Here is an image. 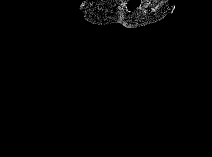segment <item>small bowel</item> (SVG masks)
I'll return each mask as SVG.
<instances>
[{"label": "small bowel", "instance_id": "obj_1", "mask_svg": "<svg viewBox=\"0 0 212 157\" xmlns=\"http://www.w3.org/2000/svg\"><path fill=\"white\" fill-rule=\"evenodd\" d=\"M140 3H141L140 0H131L124 4V8L129 11L135 10L140 6Z\"/></svg>", "mask_w": 212, "mask_h": 157}]
</instances>
